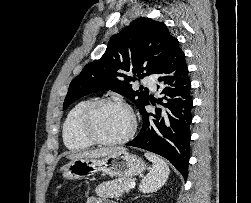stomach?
<instances>
[{"instance_id":"obj_1","label":"stomach","mask_w":251,"mask_h":203,"mask_svg":"<svg viewBox=\"0 0 251 203\" xmlns=\"http://www.w3.org/2000/svg\"><path fill=\"white\" fill-rule=\"evenodd\" d=\"M146 169L145 162L138 156L119 149L104 158H79L60 168L65 179H84L98 172L112 177H132Z\"/></svg>"}]
</instances>
